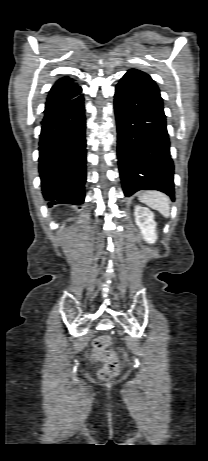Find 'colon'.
Here are the masks:
<instances>
[{"mask_svg":"<svg viewBox=\"0 0 208 461\" xmlns=\"http://www.w3.org/2000/svg\"><path fill=\"white\" fill-rule=\"evenodd\" d=\"M111 338L108 335H102L94 341V357L104 363L98 376L101 380H110L118 374L119 359L114 350L109 349Z\"/></svg>","mask_w":208,"mask_h":461,"instance_id":"5ec220e1","label":"colon"}]
</instances>
